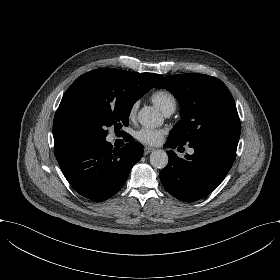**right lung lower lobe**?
<instances>
[{"label":"right lung lower lobe","mask_w":280,"mask_h":280,"mask_svg":"<svg viewBox=\"0 0 280 280\" xmlns=\"http://www.w3.org/2000/svg\"><path fill=\"white\" fill-rule=\"evenodd\" d=\"M55 155L73 189L83 197L101 202L123 187L130 170L143 155V146L130 142L117 150L106 140H87Z\"/></svg>","instance_id":"1"}]
</instances>
